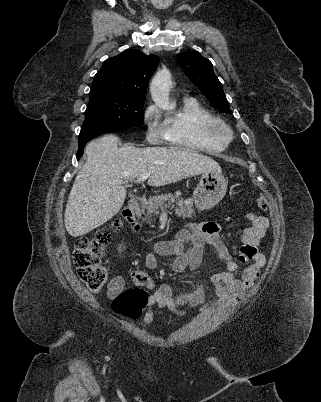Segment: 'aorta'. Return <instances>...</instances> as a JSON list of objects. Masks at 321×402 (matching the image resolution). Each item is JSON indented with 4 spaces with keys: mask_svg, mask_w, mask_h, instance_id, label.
<instances>
[{
    "mask_svg": "<svg viewBox=\"0 0 321 402\" xmlns=\"http://www.w3.org/2000/svg\"><path fill=\"white\" fill-rule=\"evenodd\" d=\"M171 86V74L168 70L158 71L152 79L150 93L154 103L165 110L173 108L169 103V91Z\"/></svg>",
    "mask_w": 321,
    "mask_h": 402,
    "instance_id": "762f6f07",
    "label": "aorta"
}]
</instances>
